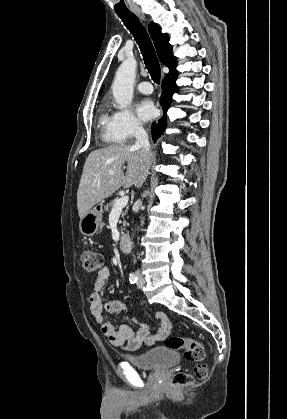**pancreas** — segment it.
Wrapping results in <instances>:
<instances>
[{
    "label": "pancreas",
    "instance_id": "1",
    "mask_svg": "<svg viewBox=\"0 0 287 419\" xmlns=\"http://www.w3.org/2000/svg\"><path fill=\"white\" fill-rule=\"evenodd\" d=\"M116 201H117V198L114 200H111L108 204H106L105 210L108 211L109 209H112ZM127 211H128V207H126L125 211L122 213V216H125L127 214Z\"/></svg>",
    "mask_w": 287,
    "mask_h": 419
}]
</instances>
